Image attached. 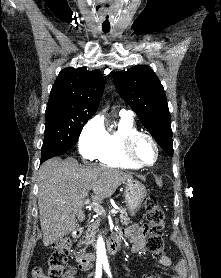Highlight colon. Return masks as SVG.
I'll return each mask as SVG.
<instances>
[{
    "mask_svg": "<svg viewBox=\"0 0 221 278\" xmlns=\"http://www.w3.org/2000/svg\"><path fill=\"white\" fill-rule=\"evenodd\" d=\"M144 207L146 224L153 230L147 241V250L151 254L161 255L165 252L162 236V230L165 227L164 212L154 196H149L145 200ZM71 247L72 241L69 238H63L54 243L48 270L36 268L33 272V278H65Z\"/></svg>",
    "mask_w": 221,
    "mask_h": 278,
    "instance_id": "obj_1",
    "label": "colon"
}]
</instances>
